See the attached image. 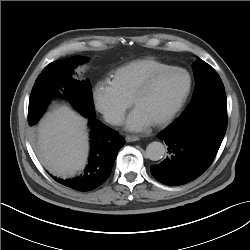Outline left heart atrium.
I'll list each match as a JSON object with an SVG mask.
<instances>
[{
    "label": "left heart atrium",
    "instance_id": "39dd6f15",
    "mask_svg": "<svg viewBox=\"0 0 250 250\" xmlns=\"http://www.w3.org/2000/svg\"><path fill=\"white\" fill-rule=\"evenodd\" d=\"M152 125V121L139 109L130 113L126 121V127L131 131H143Z\"/></svg>",
    "mask_w": 250,
    "mask_h": 250
}]
</instances>
